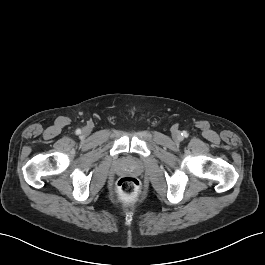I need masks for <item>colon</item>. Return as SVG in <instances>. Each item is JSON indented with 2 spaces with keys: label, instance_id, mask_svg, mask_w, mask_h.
<instances>
[{
  "label": "colon",
  "instance_id": "1",
  "mask_svg": "<svg viewBox=\"0 0 265 265\" xmlns=\"http://www.w3.org/2000/svg\"><path fill=\"white\" fill-rule=\"evenodd\" d=\"M119 192L126 198H135L140 190L139 181L132 176H125L118 180Z\"/></svg>",
  "mask_w": 265,
  "mask_h": 265
}]
</instances>
